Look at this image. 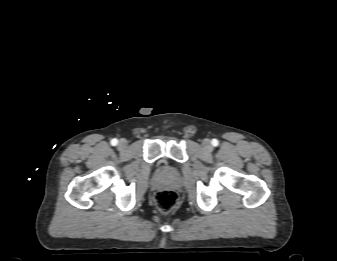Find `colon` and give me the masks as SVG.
I'll return each instance as SVG.
<instances>
[{"mask_svg":"<svg viewBox=\"0 0 337 261\" xmlns=\"http://www.w3.org/2000/svg\"><path fill=\"white\" fill-rule=\"evenodd\" d=\"M156 207L162 213H169L172 211L178 203V195L173 190H160L154 197Z\"/></svg>","mask_w":337,"mask_h":261,"instance_id":"obj_1","label":"colon"}]
</instances>
